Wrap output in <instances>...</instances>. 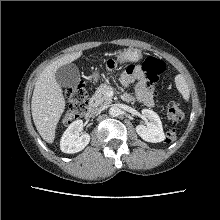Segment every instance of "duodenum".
<instances>
[{"label":"duodenum","instance_id":"obj_1","mask_svg":"<svg viewBox=\"0 0 220 220\" xmlns=\"http://www.w3.org/2000/svg\"><path fill=\"white\" fill-rule=\"evenodd\" d=\"M94 113H95V109L94 107L91 106L86 113V118L87 119L92 118L94 116Z\"/></svg>","mask_w":220,"mask_h":220}]
</instances>
